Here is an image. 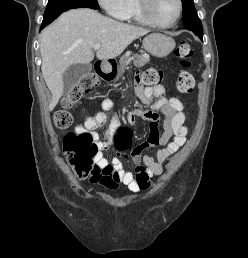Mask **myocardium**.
I'll use <instances>...</instances> for the list:
<instances>
[{"instance_id": "myocardium-1", "label": "myocardium", "mask_w": 248, "mask_h": 258, "mask_svg": "<svg viewBox=\"0 0 248 258\" xmlns=\"http://www.w3.org/2000/svg\"><path fill=\"white\" fill-rule=\"evenodd\" d=\"M176 1L178 5V11L173 21L169 23H161L153 17L150 10L152 0H138V7L142 18L145 20L147 24L158 28H170L179 21L183 11L182 0H176Z\"/></svg>"}]
</instances>
